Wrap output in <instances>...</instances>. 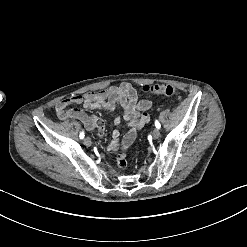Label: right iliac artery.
Masks as SVG:
<instances>
[{"label":"right iliac artery","instance_id":"obj_1","mask_svg":"<svg viewBox=\"0 0 247 247\" xmlns=\"http://www.w3.org/2000/svg\"><path fill=\"white\" fill-rule=\"evenodd\" d=\"M84 132L82 131V132H80V135H79V137H80V139H83L84 138Z\"/></svg>","mask_w":247,"mask_h":247}]
</instances>
